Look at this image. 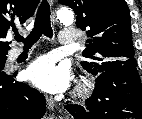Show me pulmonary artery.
I'll list each match as a JSON object with an SVG mask.
<instances>
[{"label":"pulmonary artery","mask_w":142,"mask_h":119,"mask_svg":"<svg viewBox=\"0 0 142 119\" xmlns=\"http://www.w3.org/2000/svg\"><path fill=\"white\" fill-rule=\"evenodd\" d=\"M60 44L65 46L73 45L77 42V35L74 33V31L70 28H63L60 32ZM22 50L20 48H13L9 53V59L14 60L16 59L20 54Z\"/></svg>","instance_id":"e3ab8cb5"}]
</instances>
